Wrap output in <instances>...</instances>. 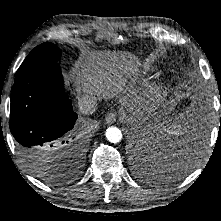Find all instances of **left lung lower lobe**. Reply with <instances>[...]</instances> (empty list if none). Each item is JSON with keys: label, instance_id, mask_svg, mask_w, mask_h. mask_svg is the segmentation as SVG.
Masks as SVG:
<instances>
[{"label": "left lung lower lobe", "instance_id": "left-lung-lower-lobe-1", "mask_svg": "<svg viewBox=\"0 0 221 221\" xmlns=\"http://www.w3.org/2000/svg\"><path fill=\"white\" fill-rule=\"evenodd\" d=\"M195 142V139L184 140L178 145L170 147L167 154H169L171 162L170 166L165 168H162L160 163H158L159 159L156 156V153L162 147L161 140L157 135L142 134L141 136L133 138L132 148H134L140 156L146 157L152 168L157 169V173L155 174L157 175L156 180L167 182L179 177L187 170L188 164L191 163L195 157L194 152L191 150ZM144 176L147 177L148 174Z\"/></svg>", "mask_w": 221, "mask_h": 221}]
</instances>
